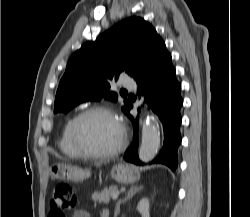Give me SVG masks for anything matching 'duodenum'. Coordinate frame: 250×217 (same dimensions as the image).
Instances as JSON below:
<instances>
[{
	"label": "duodenum",
	"mask_w": 250,
	"mask_h": 217,
	"mask_svg": "<svg viewBox=\"0 0 250 217\" xmlns=\"http://www.w3.org/2000/svg\"><path fill=\"white\" fill-rule=\"evenodd\" d=\"M102 217H109V213L108 212H103Z\"/></svg>",
	"instance_id": "obj_1"
}]
</instances>
